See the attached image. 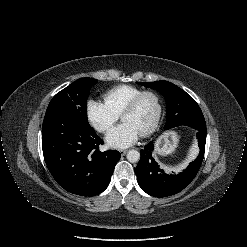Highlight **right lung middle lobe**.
<instances>
[{
    "label": "right lung middle lobe",
    "instance_id": "1",
    "mask_svg": "<svg viewBox=\"0 0 247 247\" xmlns=\"http://www.w3.org/2000/svg\"><path fill=\"white\" fill-rule=\"evenodd\" d=\"M98 81L81 78L57 93L50 101L46 115L66 113L87 120V98L90 88Z\"/></svg>",
    "mask_w": 247,
    "mask_h": 247
}]
</instances>
